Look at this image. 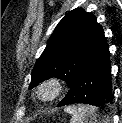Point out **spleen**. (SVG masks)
I'll use <instances>...</instances> for the list:
<instances>
[{
    "label": "spleen",
    "mask_w": 122,
    "mask_h": 123,
    "mask_svg": "<svg viewBox=\"0 0 122 123\" xmlns=\"http://www.w3.org/2000/svg\"><path fill=\"white\" fill-rule=\"evenodd\" d=\"M65 112L72 115L71 123H101L98 122L99 114L94 106H68Z\"/></svg>",
    "instance_id": "3e777b00"
}]
</instances>
